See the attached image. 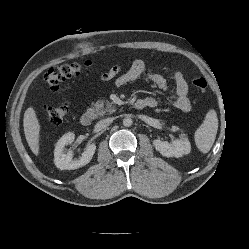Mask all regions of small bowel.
Segmentation results:
<instances>
[{
	"label": "small bowel",
	"mask_w": 249,
	"mask_h": 249,
	"mask_svg": "<svg viewBox=\"0 0 249 249\" xmlns=\"http://www.w3.org/2000/svg\"><path fill=\"white\" fill-rule=\"evenodd\" d=\"M122 70L119 66H113L108 71L100 74L102 81L115 80L117 87L124 86L128 83L136 81L146 72V64L143 60L137 59L133 61L130 68L121 73ZM168 73L171 79L175 83L174 92L169 91L167 81L161 74L148 72L146 78L154 83L159 89L168 94L167 104L174 106L181 111L188 112L191 110V102L188 98V84L183 74L175 69H169ZM143 100L146 103L147 108H153L157 105V101L153 97H145Z\"/></svg>",
	"instance_id": "small-bowel-1"
}]
</instances>
